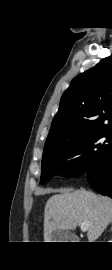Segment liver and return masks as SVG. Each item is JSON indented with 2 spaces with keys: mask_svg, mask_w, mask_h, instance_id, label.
Listing matches in <instances>:
<instances>
[{
  "mask_svg": "<svg viewBox=\"0 0 112 270\" xmlns=\"http://www.w3.org/2000/svg\"><path fill=\"white\" fill-rule=\"evenodd\" d=\"M50 197L44 212V242H52L53 232L75 230L88 222V242H95L112 223V199L84 189L58 191Z\"/></svg>",
  "mask_w": 112,
  "mask_h": 270,
  "instance_id": "obj_1",
  "label": "liver"
}]
</instances>
